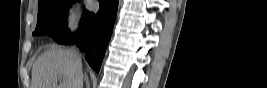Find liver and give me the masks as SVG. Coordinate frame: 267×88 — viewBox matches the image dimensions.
<instances>
[{
	"instance_id": "obj_1",
	"label": "liver",
	"mask_w": 267,
	"mask_h": 88,
	"mask_svg": "<svg viewBox=\"0 0 267 88\" xmlns=\"http://www.w3.org/2000/svg\"><path fill=\"white\" fill-rule=\"evenodd\" d=\"M81 60L71 50L52 47L38 57L32 67V88H79ZM63 76V83L57 81Z\"/></svg>"
}]
</instances>
